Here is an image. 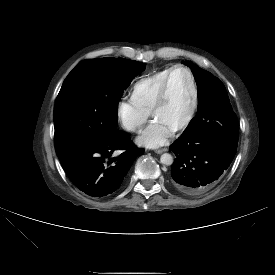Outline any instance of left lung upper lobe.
Masks as SVG:
<instances>
[{
  "label": "left lung upper lobe",
  "instance_id": "left-lung-upper-lobe-1",
  "mask_svg": "<svg viewBox=\"0 0 275 275\" xmlns=\"http://www.w3.org/2000/svg\"><path fill=\"white\" fill-rule=\"evenodd\" d=\"M186 64L192 69L197 80L199 103L197 115L190 121L181 137L226 133L238 140L237 117L223 83L193 63Z\"/></svg>",
  "mask_w": 275,
  "mask_h": 275
}]
</instances>
